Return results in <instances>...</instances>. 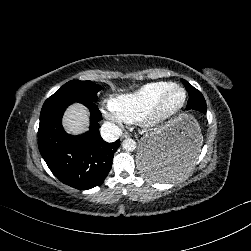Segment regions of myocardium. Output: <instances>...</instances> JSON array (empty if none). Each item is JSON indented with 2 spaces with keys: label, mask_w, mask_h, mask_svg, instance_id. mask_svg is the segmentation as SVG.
I'll return each mask as SVG.
<instances>
[{
  "label": "myocardium",
  "mask_w": 251,
  "mask_h": 251,
  "mask_svg": "<svg viewBox=\"0 0 251 251\" xmlns=\"http://www.w3.org/2000/svg\"><path fill=\"white\" fill-rule=\"evenodd\" d=\"M169 88H174L182 91L184 94V100L177 112H175L170 116H163L161 114V109L169 96ZM187 105H188V93L186 89L176 83H170L168 88H166L160 94L159 98L156 100V102L150 108V110L146 115L149 127L155 129H164L169 127L170 125L178 121L179 118L184 114Z\"/></svg>",
  "instance_id": "1"
}]
</instances>
